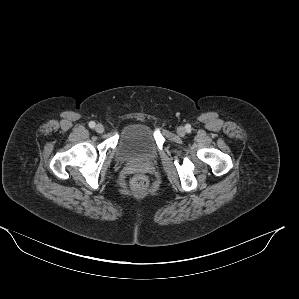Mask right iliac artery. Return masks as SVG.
Returning a JSON list of instances; mask_svg holds the SVG:
<instances>
[{
    "label": "right iliac artery",
    "mask_w": 299,
    "mask_h": 299,
    "mask_svg": "<svg viewBox=\"0 0 299 299\" xmlns=\"http://www.w3.org/2000/svg\"><path fill=\"white\" fill-rule=\"evenodd\" d=\"M89 127L94 128L95 127V122L94 121L89 122Z\"/></svg>",
    "instance_id": "1"
}]
</instances>
